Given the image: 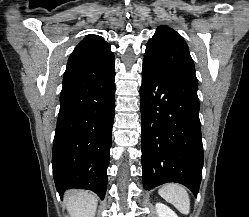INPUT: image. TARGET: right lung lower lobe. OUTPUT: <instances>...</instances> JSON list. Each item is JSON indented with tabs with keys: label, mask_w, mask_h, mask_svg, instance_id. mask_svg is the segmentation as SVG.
Masks as SVG:
<instances>
[{
	"label": "right lung lower lobe",
	"mask_w": 249,
	"mask_h": 217,
	"mask_svg": "<svg viewBox=\"0 0 249 217\" xmlns=\"http://www.w3.org/2000/svg\"><path fill=\"white\" fill-rule=\"evenodd\" d=\"M115 59L70 66L63 77L53 142V176L60 195L89 189L104 198L115 108Z\"/></svg>",
	"instance_id": "obj_1"
}]
</instances>
